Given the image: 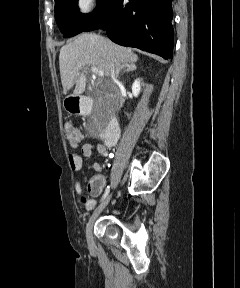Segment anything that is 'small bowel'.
Masks as SVG:
<instances>
[{
	"label": "small bowel",
	"mask_w": 240,
	"mask_h": 288,
	"mask_svg": "<svg viewBox=\"0 0 240 288\" xmlns=\"http://www.w3.org/2000/svg\"><path fill=\"white\" fill-rule=\"evenodd\" d=\"M96 150L101 156L109 157L110 153L107 146L103 144H93L85 143L80 150V154L84 157H90L93 154V151ZM70 167L74 173H79L82 169V158L79 154H72L69 157ZM93 169L96 172L101 171V166L99 163L93 164ZM93 180L98 184V190L94 193L95 196L99 195L106 184V178L102 174H97L94 176ZM75 188L78 195L81 197L82 204L85 209L92 210L96 205V200L93 198H86L83 195L82 186L79 178L75 179Z\"/></svg>",
	"instance_id": "small-bowel-1"
}]
</instances>
